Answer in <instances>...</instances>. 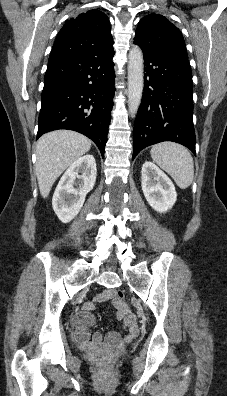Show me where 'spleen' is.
Wrapping results in <instances>:
<instances>
[{
    "instance_id": "obj_1",
    "label": "spleen",
    "mask_w": 227,
    "mask_h": 396,
    "mask_svg": "<svg viewBox=\"0 0 227 396\" xmlns=\"http://www.w3.org/2000/svg\"><path fill=\"white\" fill-rule=\"evenodd\" d=\"M150 154L181 189L190 186L194 177V163L190 152L184 146L174 142H162L152 146Z\"/></svg>"
}]
</instances>
